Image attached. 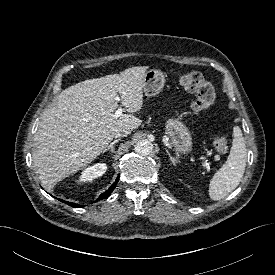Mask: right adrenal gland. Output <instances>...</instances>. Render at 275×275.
<instances>
[{
	"instance_id": "1",
	"label": "right adrenal gland",
	"mask_w": 275,
	"mask_h": 275,
	"mask_svg": "<svg viewBox=\"0 0 275 275\" xmlns=\"http://www.w3.org/2000/svg\"><path fill=\"white\" fill-rule=\"evenodd\" d=\"M119 141H120L119 138H118V139H115L113 142L110 143V145H109L103 152L109 151L110 154L113 153V152H114V145H115L116 143H118Z\"/></svg>"
}]
</instances>
